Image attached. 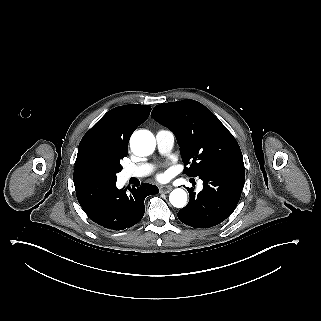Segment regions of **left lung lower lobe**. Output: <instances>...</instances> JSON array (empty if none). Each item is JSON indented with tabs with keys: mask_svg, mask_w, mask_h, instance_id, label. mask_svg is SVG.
<instances>
[{
	"mask_svg": "<svg viewBox=\"0 0 321 321\" xmlns=\"http://www.w3.org/2000/svg\"><path fill=\"white\" fill-rule=\"evenodd\" d=\"M197 176L203 180V190L196 194L193 188H187L190 200L178 212V218L191 227H212L228 218L239 202L245 181L244 162H221Z\"/></svg>",
	"mask_w": 321,
	"mask_h": 321,
	"instance_id": "obj_1",
	"label": "left lung lower lobe"
}]
</instances>
